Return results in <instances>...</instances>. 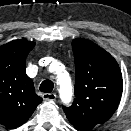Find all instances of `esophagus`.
Returning a JSON list of instances; mask_svg holds the SVG:
<instances>
[{
  "label": "esophagus",
  "instance_id": "esophagus-1",
  "mask_svg": "<svg viewBox=\"0 0 131 131\" xmlns=\"http://www.w3.org/2000/svg\"><path fill=\"white\" fill-rule=\"evenodd\" d=\"M42 97L45 101H54L57 96L55 93H44Z\"/></svg>",
  "mask_w": 131,
  "mask_h": 131
}]
</instances>
